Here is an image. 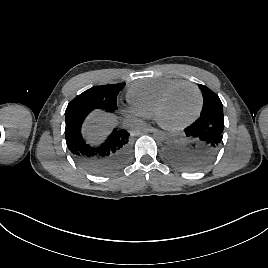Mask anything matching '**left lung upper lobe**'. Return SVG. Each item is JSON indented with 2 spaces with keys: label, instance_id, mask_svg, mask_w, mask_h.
Returning a JSON list of instances; mask_svg holds the SVG:
<instances>
[{
  "label": "left lung upper lobe",
  "instance_id": "5c2ea615",
  "mask_svg": "<svg viewBox=\"0 0 268 268\" xmlns=\"http://www.w3.org/2000/svg\"><path fill=\"white\" fill-rule=\"evenodd\" d=\"M198 86L203 95V109L200 117L216 114L223 115V105L219 97L206 86L201 84Z\"/></svg>",
  "mask_w": 268,
  "mask_h": 268
}]
</instances>
